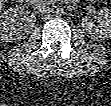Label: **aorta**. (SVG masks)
Listing matches in <instances>:
<instances>
[{
  "mask_svg": "<svg viewBox=\"0 0 111 106\" xmlns=\"http://www.w3.org/2000/svg\"><path fill=\"white\" fill-rule=\"evenodd\" d=\"M55 12L58 16H62L64 14V9L63 8H57Z\"/></svg>",
  "mask_w": 111,
  "mask_h": 106,
  "instance_id": "aorta-1",
  "label": "aorta"
}]
</instances>
